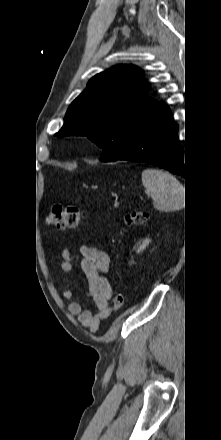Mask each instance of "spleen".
I'll use <instances>...</instances> for the list:
<instances>
[{"label":"spleen","instance_id":"3e777b00","mask_svg":"<svg viewBox=\"0 0 221 440\" xmlns=\"http://www.w3.org/2000/svg\"><path fill=\"white\" fill-rule=\"evenodd\" d=\"M145 192L153 199L154 208L159 211L179 210L184 203L183 185L167 171L145 169L142 172Z\"/></svg>","mask_w":221,"mask_h":440}]
</instances>
